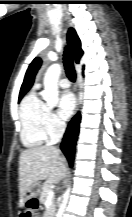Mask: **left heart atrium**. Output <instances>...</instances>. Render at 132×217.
Instances as JSON below:
<instances>
[{
  "mask_svg": "<svg viewBox=\"0 0 132 217\" xmlns=\"http://www.w3.org/2000/svg\"><path fill=\"white\" fill-rule=\"evenodd\" d=\"M76 107L75 96L69 92L65 91L61 94L58 105V113L60 117L64 120L71 117Z\"/></svg>",
  "mask_w": 132,
  "mask_h": 217,
  "instance_id": "obj_1",
  "label": "left heart atrium"
}]
</instances>
